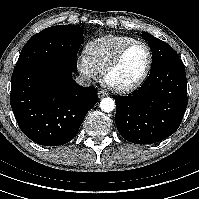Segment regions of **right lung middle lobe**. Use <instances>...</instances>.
<instances>
[{"label":"right lung middle lobe","instance_id":"1","mask_svg":"<svg viewBox=\"0 0 199 199\" xmlns=\"http://www.w3.org/2000/svg\"><path fill=\"white\" fill-rule=\"evenodd\" d=\"M82 33L79 26L58 25L35 34L23 47L13 74L41 64H58L75 71Z\"/></svg>","mask_w":199,"mask_h":199}]
</instances>
